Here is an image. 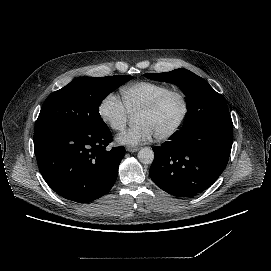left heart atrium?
Returning a JSON list of instances; mask_svg holds the SVG:
<instances>
[{"label":"left heart atrium","instance_id":"39dd6f15","mask_svg":"<svg viewBox=\"0 0 271 271\" xmlns=\"http://www.w3.org/2000/svg\"><path fill=\"white\" fill-rule=\"evenodd\" d=\"M154 137L155 135L150 127L141 123L118 135L116 142L125 146H138L151 142Z\"/></svg>","mask_w":271,"mask_h":271}]
</instances>
